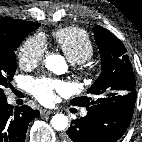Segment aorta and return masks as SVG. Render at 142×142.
Here are the masks:
<instances>
[{
    "mask_svg": "<svg viewBox=\"0 0 142 142\" xmlns=\"http://www.w3.org/2000/svg\"><path fill=\"white\" fill-rule=\"evenodd\" d=\"M46 67L55 74H63L67 70V64L64 58L57 54L46 56ZM52 127L57 131L65 130L68 126V118L64 114H55L51 119Z\"/></svg>",
    "mask_w": 142,
    "mask_h": 142,
    "instance_id": "obj_1",
    "label": "aorta"
}]
</instances>
